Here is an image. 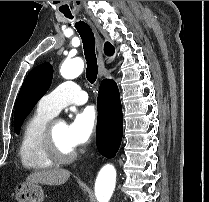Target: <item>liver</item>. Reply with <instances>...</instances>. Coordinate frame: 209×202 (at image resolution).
I'll use <instances>...</instances> for the list:
<instances>
[{"label":"liver","mask_w":209,"mask_h":202,"mask_svg":"<svg viewBox=\"0 0 209 202\" xmlns=\"http://www.w3.org/2000/svg\"><path fill=\"white\" fill-rule=\"evenodd\" d=\"M70 174V171L65 169L36 171L34 173H31L26 178V182L45 185H62L69 179Z\"/></svg>","instance_id":"obj_1"}]
</instances>
